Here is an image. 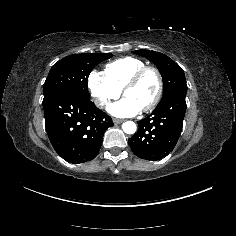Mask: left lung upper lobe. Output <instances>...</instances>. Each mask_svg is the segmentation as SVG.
<instances>
[{
    "label": "left lung upper lobe",
    "instance_id": "5c2ea615",
    "mask_svg": "<svg viewBox=\"0 0 236 236\" xmlns=\"http://www.w3.org/2000/svg\"><path fill=\"white\" fill-rule=\"evenodd\" d=\"M133 53L147 58L159 69L164 84V92L160 102H163L175 94L187 93L183 70L168 56L160 52L149 50H136Z\"/></svg>",
    "mask_w": 236,
    "mask_h": 236
}]
</instances>
